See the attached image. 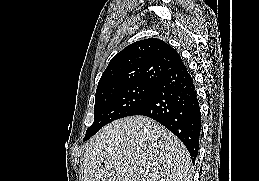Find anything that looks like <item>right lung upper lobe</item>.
Returning <instances> with one entry per match:
<instances>
[{"mask_svg": "<svg viewBox=\"0 0 259 181\" xmlns=\"http://www.w3.org/2000/svg\"><path fill=\"white\" fill-rule=\"evenodd\" d=\"M182 65L177 51L164 41L157 38L137 41L112 58L96 93L134 83H157Z\"/></svg>", "mask_w": 259, "mask_h": 181, "instance_id": "right-lung-upper-lobe-1", "label": "right lung upper lobe"}]
</instances>
